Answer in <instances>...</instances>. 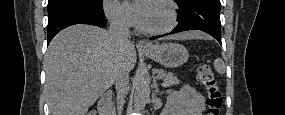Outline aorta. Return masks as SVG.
I'll use <instances>...</instances> for the list:
<instances>
[{
	"instance_id": "762f6f07",
	"label": "aorta",
	"mask_w": 285,
	"mask_h": 115,
	"mask_svg": "<svg viewBox=\"0 0 285 115\" xmlns=\"http://www.w3.org/2000/svg\"><path fill=\"white\" fill-rule=\"evenodd\" d=\"M149 95V82L143 75H139L135 82L134 108L136 110L144 109L147 102L149 101Z\"/></svg>"
}]
</instances>
